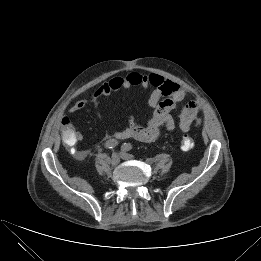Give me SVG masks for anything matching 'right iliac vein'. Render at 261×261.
I'll use <instances>...</instances> for the list:
<instances>
[{"mask_svg": "<svg viewBox=\"0 0 261 261\" xmlns=\"http://www.w3.org/2000/svg\"><path fill=\"white\" fill-rule=\"evenodd\" d=\"M119 162H120V155L118 154V153H113L112 155H111V158H110V164L112 165V166H116V165H118L119 164Z\"/></svg>", "mask_w": 261, "mask_h": 261, "instance_id": "right-iliac-vein-1", "label": "right iliac vein"}]
</instances>
